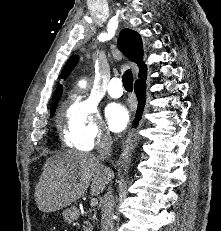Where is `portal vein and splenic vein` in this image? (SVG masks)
Returning <instances> with one entry per match:
<instances>
[{
  "label": "portal vein and splenic vein",
  "mask_w": 221,
  "mask_h": 231,
  "mask_svg": "<svg viewBox=\"0 0 221 231\" xmlns=\"http://www.w3.org/2000/svg\"><path fill=\"white\" fill-rule=\"evenodd\" d=\"M98 204V200L96 198H92L90 201L91 206H96Z\"/></svg>",
  "instance_id": "18ae733b"
}]
</instances>
